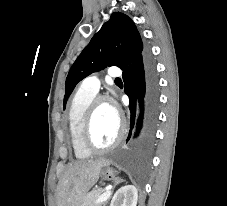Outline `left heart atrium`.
<instances>
[{
  "instance_id": "left-heart-atrium-1",
  "label": "left heart atrium",
  "mask_w": 227,
  "mask_h": 206,
  "mask_svg": "<svg viewBox=\"0 0 227 206\" xmlns=\"http://www.w3.org/2000/svg\"><path fill=\"white\" fill-rule=\"evenodd\" d=\"M111 108H112V110H113L114 114L118 116V112H117L116 107H115V106H113V105L111 104Z\"/></svg>"
}]
</instances>
